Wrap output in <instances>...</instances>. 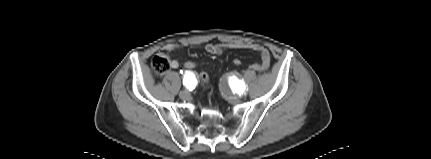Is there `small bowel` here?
Listing matches in <instances>:
<instances>
[{"label": "small bowel", "instance_id": "obj_1", "mask_svg": "<svg viewBox=\"0 0 431 159\" xmlns=\"http://www.w3.org/2000/svg\"><path fill=\"white\" fill-rule=\"evenodd\" d=\"M180 46L178 44H169L164 47L160 54L166 56L169 59L170 66L173 69H177L180 63L177 59H171L168 55L171 51L178 49ZM228 49H251L260 54V62L252 65V69L256 71H265L270 65V54L268 50L259 44H250L243 42H229V43H218V44H208L206 46V51L210 54L220 55L225 50ZM185 66V65H184ZM190 72V71H189Z\"/></svg>", "mask_w": 431, "mask_h": 159}]
</instances>
